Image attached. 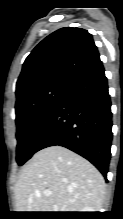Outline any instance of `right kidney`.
Listing matches in <instances>:
<instances>
[{
    "instance_id": "ca27d5eb",
    "label": "right kidney",
    "mask_w": 123,
    "mask_h": 219,
    "mask_svg": "<svg viewBox=\"0 0 123 219\" xmlns=\"http://www.w3.org/2000/svg\"><path fill=\"white\" fill-rule=\"evenodd\" d=\"M95 210H93L91 207H85L82 210H80V212H94Z\"/></svg>"
}]
</instances>
